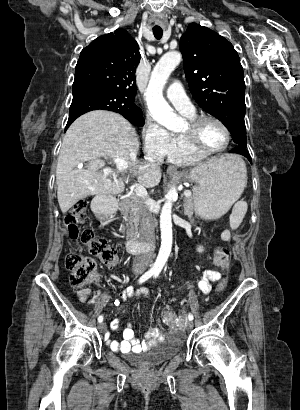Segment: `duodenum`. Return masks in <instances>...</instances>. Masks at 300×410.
<instances>
[{"instance_id":"obj_1","label":"duodenum","mask_w":300,"mask_h":410,"mask_svg":"<svg viewBox=\"0 0 300 410\" xmlns=\"http://www.w3.org/2000/svg\"><path fill=\"white\" fill-rule=\"evenodd\" d=\"M113 210V201L108 198H98L93 202V212L98 219H103ZM123 246L127 249V251L132 253H137L138 250H148V248H143V244L134 237L125 239L123 241Z\"/></svg>"}]
</instances>
